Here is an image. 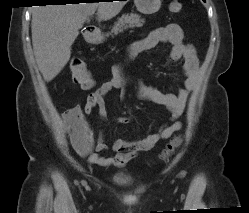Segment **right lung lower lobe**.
<instances>
[{"instance_id": "1", "label": "right lung lower lobe", "mask_w": 249, "mask_h": 213, "mask_svg": "<svg viewBox=\"0 0 249 213\" xmlns=\"http://www.w3.org/2000/svg\"><path fill=\"white\" fill-rule=\"evenodd\" d=\"M75 1H78V0H47V2H51V3H56V4H65V3H68V2H75Z\"/></svg>"}]
</instances>
